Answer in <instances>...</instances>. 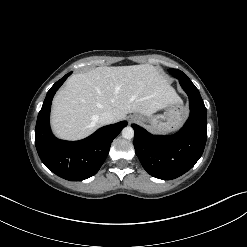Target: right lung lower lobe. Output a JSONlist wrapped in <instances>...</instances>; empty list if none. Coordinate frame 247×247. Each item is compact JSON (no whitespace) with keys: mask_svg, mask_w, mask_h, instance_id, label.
<instances>
[{"mask_svg":"<svg viewBox=\"0 0 247 247\" xmlns=\"http://www.w3.org/2000/svg\"><path fill=\"white\" fill-rule=\"evenodd\" d=\"M70 74L71 72L57 81L46 95L37 118L35 145L40 159L53 173L66 180L79 181L98 172L113 139L127 126V122L104 126L80 141H63L54 137L49 125L51 102Z\"/></svg>","mask_w":247,"mask_h":247,"instance_id":"98d812e1","label":"right lung lower lobe"}]
</instances>
